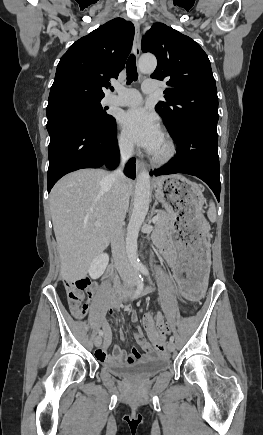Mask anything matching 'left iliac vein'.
Instances as JSON below:
<instances>
[{"instance_id": "obj_1", "label": "left iliac vein", "mask_w": 263, "mask_h": 435, "mask_svg": "<svg viewBox=\"0 0 263 435\" xmlns=\"http://www.w3.org/2000/svg\"><path fill=\"white\" fill-rule=\"evenodd\" d=\"M167 348L170 352H173L175 350V344L173 342H169Z\"/></svg>"}]
</instances>
